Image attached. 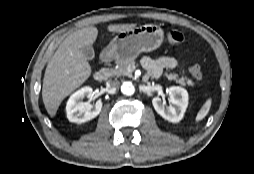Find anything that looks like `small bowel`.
Masks as SVG:
<instances>
[{"mask_svg": "<svg viewBox=\"0 0 254 174\" xmlns=\"http://www.w3.org/2000/svg\"><path fill=\"white\" fill-rule=\"evenodd\" d=\"M142 65L147 71L149 77H159L164 69H174L178 67V61L172 57L151 58L144 57Z\"/></svg>", "mask_w": 254, "mask_h": 174, "instance_id": "obj_1", "label": "small bowel"}]
</instances>
